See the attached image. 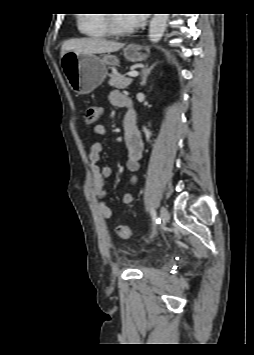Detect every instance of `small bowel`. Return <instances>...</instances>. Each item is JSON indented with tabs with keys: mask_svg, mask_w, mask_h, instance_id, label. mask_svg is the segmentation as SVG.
Wrapping results in <instances>:
<instances>
[{
	"mask_svg": "<svg viewBox=\"0 0 254 355\" xmlns=\"http://www.w3.org/2000/svg\"><path fill=\"white\" fill-rule=\"evenodd\" d=\"M110 102L119 107H124L126 113L124 116V130H125V145L128 151L127 169L130 172L129 182L131 185H135L138 182V172L140 169V160L144 150V142L139 130L135 127L131 130H127L125 127L128 118H134L136 120V111L133 108L131 100L119 91H113L110 94ZM106 134V128L103 125H96L92 131L94 137L104 136ZM103 150V144L101 141L95 140L91 143L89 151L90 169L92 172V184L91 191L93 196L97 199L98 208L101 216L105 220L112 218V210L105 203L106 191L104 189V182L107 178L113 174V168L110 165L99 166L98 161ZM133 196L130 192H126L122 196L124 204L129 205L132 203Z\"/></svg>",
	"mask_w": 254,
	"mask_h": 355,
	"instance_id": "c3829d8e",
	"label": "small bowel"
}]
</instances>
